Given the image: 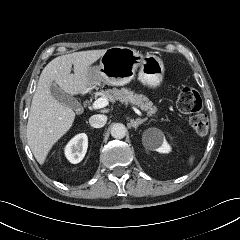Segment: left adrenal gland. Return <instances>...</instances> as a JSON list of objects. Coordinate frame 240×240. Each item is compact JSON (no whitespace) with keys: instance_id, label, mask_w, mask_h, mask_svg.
Returning a JSON list of instances; mask_svg holds the SVG:
<instances>
[{"instance_id":"1","label":"left adrenal gland","mask_w":240,"mask_h":240,"mask_svg":"<svg viewBox=\"0 0 240 240\" xmlns=\"http://www.w3.org/2000/svg\"><path fill=\"white\" fill-rule=\"evenodd\" d=\"M145 121H146V118H145V119H140V118H138V119H136V120H134V119H131V120H130L131 126H132L135 130H137L138 126H139L140 124H142L143 122H145Z\"/></svg>"}]
</instances>
